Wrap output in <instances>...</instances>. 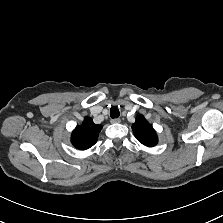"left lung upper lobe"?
Listing matches in <instances>:
<instances>
[{"mask_svg":"<svg viewBox=\"0 0 223 223\" xmlns=\"http://www.w3.org/2000/svg\"><path fill=\"white\" fill-rule=\"evenodd\" d=\"M132 129L136 139L143 145L152 147L158 143V138L152 125L148 123L143 115L136 117Z\"/></svg>","mask_w":223,"mask_h":223,"instance_id":"obj_1","label":"left lung upper lobe"}]
</instances>
